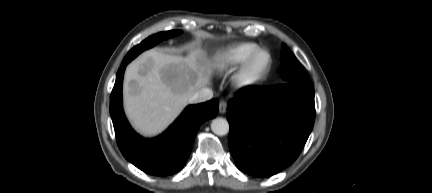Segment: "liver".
Wrapping results in <instances>:
<instances>
[{"instance_id": "1", "label": "liver", "mask_w": 432, "mask_h": 193, "mask_svg": "<svg viewBox=\"0 0 432 193\" xmlns=\"http://www.w3.org/2000/svg\"><path fill=\"white\" fill-rule=\"evenodd\" d=\"M220 54L208 59L199 45L187 55L148 50L125 71L123 100L134 129L144 136L165 130L188 104L189 98L210 83Z\"/></svg>"}]
</instances>
